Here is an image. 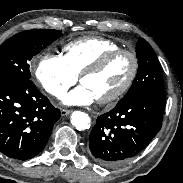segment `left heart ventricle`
<instances>
[{"label":"left heart ventricle","instance_id":"left-heart-ventricle-1","mask_svg":"<svg viewBox=\"0 0 183 183\" xmlns=\"http://www.w3.org/2000/svg\"><path fill=\"white\" fill-rule=\"evenodd\" d=\"M131 68L132 61L130 57L121 54L100 72L84 77L81 83L93 93L96 100L105 98L124 85Z\"/></svg>","mask_w":183,"mask_h":183}]
</instances>
